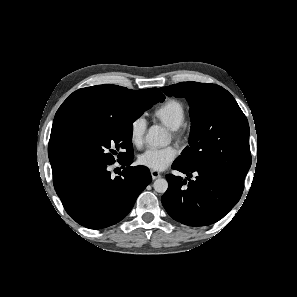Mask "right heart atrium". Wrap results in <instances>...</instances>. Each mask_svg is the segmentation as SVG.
Instances as JSON below:
<instances>
[{"label":"right heart atrium","mask_w":297,"mask_h":297,"mask_svg":"<svg viewBox=\"0 0 297 297\" xmlns=\"http://www.w3.org/2000/svg\"><path fill=\"white\" fill-rule=\"evenodd\" d=\"M147 122L142 116L135 117L129 124V138L131 143L140 147L143 144Z\"/></svg>","instance_id":"obj_1"}]
</instances>
